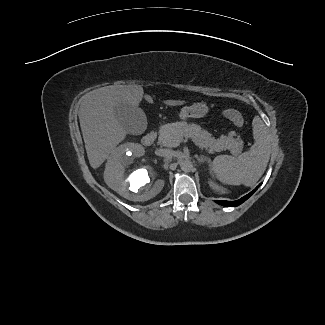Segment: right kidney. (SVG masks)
I'll list each match as a JSON object with an SVG mask.
<instances>
[{"mask_svg":"<svg viewBox=\"0 0 325 325\" xmlns=\"http://www.w3.org/2000/svg\"><path fill=\"white\" fill-rule=\"evenodd\" d=\"M136 148L132 143L117 147L106 163L104 180L128 200L147 201L162 190L164 181L156 179V171L145 160L136 161L141 156Z\"/></svg>","mask_w":325,"mask_h":325,"instance_id":"ca27d5eb","label":"right kidney"}]
</instances>
